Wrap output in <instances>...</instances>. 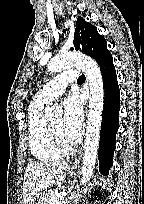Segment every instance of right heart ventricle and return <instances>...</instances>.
<instances>
[{
  "mask_svg": "<svg viewBox=\"0 0 144 204\" xmlns=\"http://www.w3.org/2000/svg\"><path fill=\"white\" fill-rule=\"evenodd\" d=\"M45 104L35 100L28 113L29 147L31 154L40 162H53L60 158V152L55 148L43 116Z\"/></svg>",
  "mask_w": 144,
  "mask_h": 204,
  "instance_id": "e07e8e85",
  "label": "right heart ventricle"
}]
</instances>
